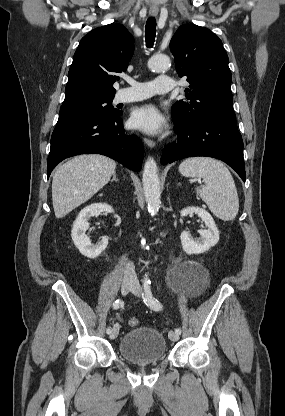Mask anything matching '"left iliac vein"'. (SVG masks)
Segmentation results:
<instances>
[{"instance_id": "4c4485c4", "label": "left iliac vein", "mask_w": 285, "mask_h": 416, "mask_svg": "<svg viewBox=\"0 0 285 416\" xmlns=\"http://www.w3.org/2000/svg\"><path fill=\"white\" fill-rule=\"evenodd\" d=\"M130 291L137 296H142V289L140 283L135 281L134 285L131 287ZM169 338L171 341H177L179 339V334L175 333L174 331L169 332Z\"/></svg>"}]
</instances>
